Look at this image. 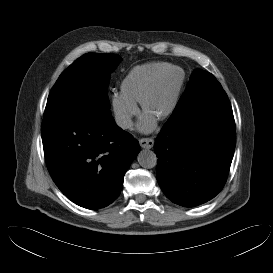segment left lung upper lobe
<instances>
[{"label":"left lung upper lobe","mask_w":273,"mask_h":273,"mask_svg":"<svg viewBox=\"0 0 273 273\" xmlns=\"http://www.w3.org/2000/svg\"><path fill=\"white\" fill-rule=\"evenodd\" d=\"M204 85H212L214 88H206ZM219 92L225 91L223 90L221 84L216 80V78L209 72L196 69L191 74L190 81L175 110H179L185 107L193 100L196 95L200 96L205 93L218 94Z\"/></svg>","instance_id":"1"}]
</instances>
